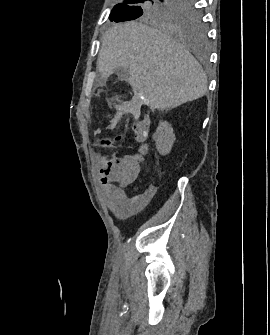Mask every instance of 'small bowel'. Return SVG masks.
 I'll use <instances>...</instances> for the list:
<instances>
[{"label": "small bowel", "instance_id": "c3829d8e", "mask_svg": "<svg viewBox=\"0 0 270 335\" xmlns=\"http://www.w3.org/2000/svg\"><path fill=\"white\" fill-rule=\"evenodd\" d=\"M151 120L148 117L142 118L135 127H132V134H136L138 141H145L148 138ZM135 151H148V144H135ZM147 163L146 158H113L112 154H97L93 158V169L101 173L100 182L107 195V204L111 212L118 218H127L136 212L140 197L128 196L124 188L132 183L134 178L139 177L138 169H144ZM118 179V185L113 181Z\"/></svg>", "mask_w": 270, "mask_h": 335}]
</instances>
